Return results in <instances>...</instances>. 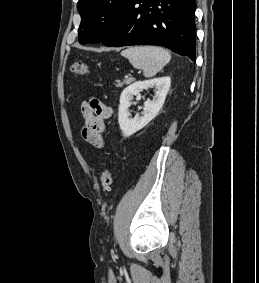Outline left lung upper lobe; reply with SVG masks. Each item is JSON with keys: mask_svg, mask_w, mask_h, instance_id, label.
Masks as SVG:
<instances>
[{"mask_svg": "<svg viewBox=\"0 0 259 283\" xmlns=\"http://www.w3.org/2000/svg\"><path fill=\"white\" fill-rule=\"evenodd\" d=\"M130 2L131 0H79L80 43H100L106 40L119 25Z\"/></svg>", "mask_w": 259, "mask_h": 283, "instance_id": "1", "label": "left lung upper lobe"}]
</instances>
